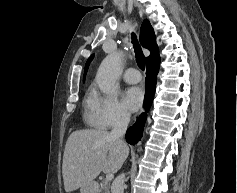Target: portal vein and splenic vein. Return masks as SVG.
<instances>
[{
    "label": "portal vein and splenic vein",
    "instance_id": "obj_1",
    "mask_svg": "<svg viewBox=\"0 0 237 193\" xmlns=\"http://www.w3.org/2000/svg\"><path fill=\"white\" fill-rule=\"evenodd\" d=\"M113 178H114V174H113V173L108 172V173L106 174V180L110 181V180H112Z\"/></svg>",
    "mask_w": 237,
    "mask_h": 193
}]
</instances>
